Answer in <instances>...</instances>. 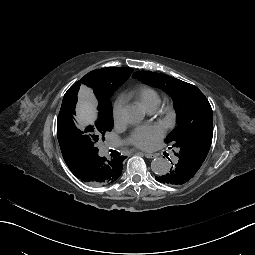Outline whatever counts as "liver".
Returning <instances> with one entry per match:
<instances>
[{
    "label": "liver",
    "mask_w": 255,
    "mask_h": 255,
    "mask_svg": "<svg viewBox=\"0 0 255 255\" xmlns=\"http://www.w3.org/2000/svg\"><path fill=\"white\" fill-rule=\"evenodd\" d=\"M80 101L78 103V119L80 122L87 124V123H94L95 117V107L96 103L93 100L92 96L86 90L80 91Z\"/></svg>",
    "instance_id": "1"
}]
</instances>
